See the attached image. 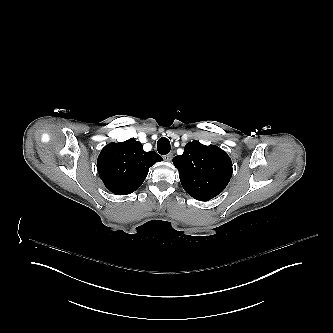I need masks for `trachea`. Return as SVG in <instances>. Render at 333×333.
<instances>
[{"label":"trachea","mask_w":333,"mask_h":333,"mask_svg":"<svg viewBox=\"0 0 333 333\" xmlns=\"http://www.w3.org/2000/svg\"><path fill=\"white\" fill-rule=\"evenodd\" d=\"M157 149L161 155L168 154L171 149L169 140L165 137H161L157 142Z\"/></svg>","instance_id":"obj_1"}]
</instances>
